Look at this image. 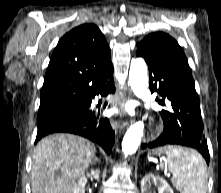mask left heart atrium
Instances as JSON below:
<instances>
[{
	"instance_id": "left-heart-atrium-1",
	"label": "left heart atrium",
	"mask_w": 221,
	"mask_h": 193,
	"mask_svg": "<svg viewBox=\"0 0 221 193\" xmlns=\"http://www.w3.org/2000/svg\"><path fill=\"white\" fill-rule=\"evenodd\" d=\"M132 108L131 106L127 105L121 109H117L115 110L116 113H119V112H131Z\"/></svg>"
}]
</instances>
